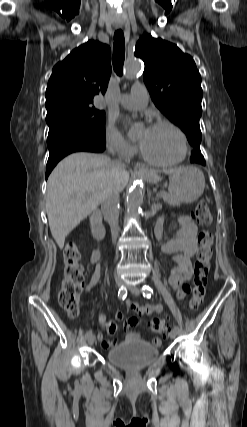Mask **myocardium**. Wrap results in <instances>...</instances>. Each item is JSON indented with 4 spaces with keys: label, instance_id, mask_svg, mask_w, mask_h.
<instances>
[{
    "label": "myocardium",
    "instance_id": "1",
    "mask_svg": "<svg viewBox=\"0 0 247 427\" xmlns=\"http://www.w3.org/2000/svg\"><path fill=\"white\" fill-rule=\"evenodd\" d=\"M157 127H168L170 129H172L178 135L179 140H180V145H181L180 154L176 159H173L170 161L156 160V159L149 157L145 153L143 148L139 145V152H140L142 159L145 160L146 162L152 164V165L160 166V167H169V166H174V165L181 163L185 159L187 152H188V142H187V137H186L185 133L176 124H174L173 122L168 121V120H159L150 126V128H157Z\"/></svg>",
    "mask_w": 247,
    "mask_h": 427
}]
</instances>
